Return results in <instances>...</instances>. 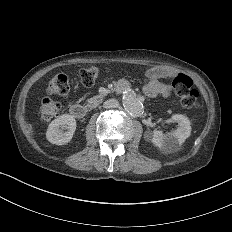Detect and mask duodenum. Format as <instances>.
Instances as JSON below:
<instances>
[{
  "mask_svg": "<svg viewBox=\"0 0 232 232\" xmlns=\"http://www.w3.org/2000/svg\"><path fill=\"white\" fill-rule=\"evenodd\" d=\"M124 82L121 81L118 83V86H124ZM70 114L77 119H82L83 117H85L86 113H87V109L85 106L80 105V104H73L70 106Z\"/></svg>",
  "mask_w": 232,
  "mask_h": 232,
  "instance_id": "410a0bca",
  "label": "duodenum"
}]
</instances>
